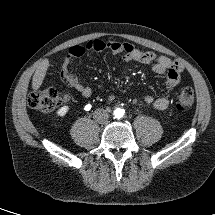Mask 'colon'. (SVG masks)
Masks as SVG:
<instances>
[{
	"instance_id": "colon-1",
	"label": "colon",
	"mask_w": 215,
	"mask_h": 215,
	"mask_svg": "<svg viewBox=\"0 0 215 215\" xmlns=\"http://www.w3.org/2000/svg\"><path fill=\"white\" fill-rule=\"evenodd\" d=\"M60 75L63 79V71ZM64 81V79H63ZM65 82V81H64ZM66 83V82H65ZM70 95L63 92L58 87L43 88L31 94L28 99L29 105L36 109L50 110L58 106L65 100H69ZM194 102V91L191 87L185 88L178 99L176 108L178 110H184L192 106Z\"/></svg>"
}]
</instances>
